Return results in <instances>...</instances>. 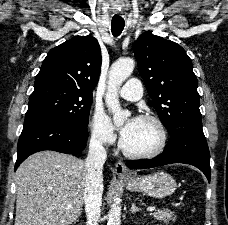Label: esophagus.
Listing matches in <instances>:
<instances>
[{
	"instance_id": "34e87169",
	"label": "esophagus",
	"mask_w": 228,
	"mask_h": 225,
	"mask_svg": "<svg viewBox=\"0 0 228 225\" xmlns=\"http://www.w3.org/2000/svg\"><path fill=\"white\" fill-rule=\"evenodd\" d=\"M115 173L119 178H126L131 176V170H129L123 162L120 160L115 165Z\"/></svg>"
}]
</instances>
